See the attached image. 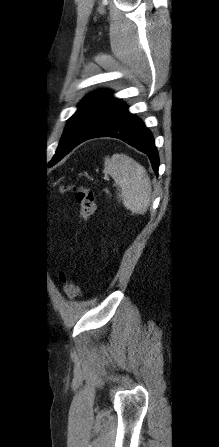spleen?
Masks as SVG:
<instances>
[{
  "label": "spleen",
  "mask_w": 219,
  "mask_h": 447,
  "mask_svg": "<svg viewBox=\"0 0 219 447\" xmlns=\"http://www.w3.org/2000/svg\"><path fill=\"white\" fill-rule=\"evenodd\" d=\"M104 173L120 187L118 197L125 208L144 214L151 198V184L142 165L125 154H114L104 159Z\"/></svg>",
  "instance_id": "3e777b00"
}]
</instances>
